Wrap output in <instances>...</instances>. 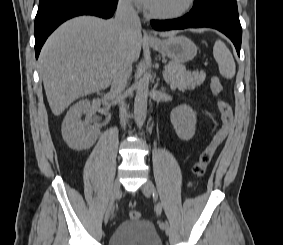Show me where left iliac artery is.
Listing matches in <instances>:
<instances>
[{
	"label": "left iliac artery",
	"instance_id": "44dca946",
	"mask_svg": "<svg viewBox=\"0 0 283 245\" xmlns=\"http://www.w3.org/2000/svg\"><path fill=\"white\" fill-rule=\"evenodd\" d=\"M161 212H162V204L159 203V204L157 205V207H156V213H157V215H160ZM159 226H160V227H163V228L169 229V224H168L167 221H164V222H163V221H159Z\"/></svg>",
	"mask_w": 283,
	"mask_h": 245
}]
</instances>
